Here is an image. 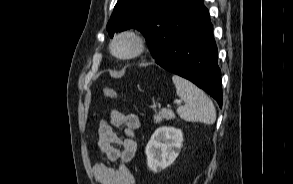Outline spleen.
<instances>
[{
    "mask_svg": "<svg viewBox=\"0 0 293 184\" xmlns=\"http://www.w3.org/2000/svg\"><path fill=\"white\" fill-rule=\"evenodd\" d=\"M172 81L177 95L185 101V105L177 108L180 118L189 122L213 124L216 120V110L211 99L183 77L173 75Z\"/></svg>",
    "mask_w": 293,
    "mask_h": 184,
    "instance_id": "1",
    "label": "spleen"
}]
</instances>
